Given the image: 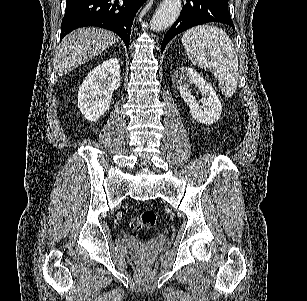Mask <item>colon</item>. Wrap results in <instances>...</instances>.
Masks as SVG:
<instances>
[{"mask_svg":"<svg viewBox=\"0 0 307 301\" xmlns=\"http://www.w3.org/2000/svg\"><path fill=\"white\" fill-rule=\"evenodd\" d=\"M156 214L153 210H145L131 222V227L134 230L151 229L156 224Z\"/></svg>","mask_w":307,"mask_h":301,"instance_id":"colon-1","label":"colon"}]
</instances>
